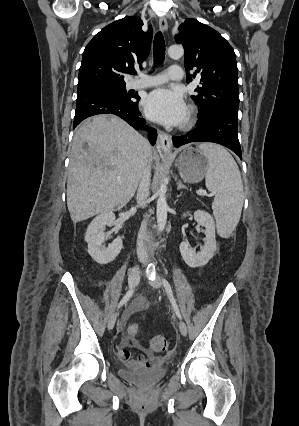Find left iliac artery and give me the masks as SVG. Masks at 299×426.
<instances>
[{"mask_svg":"<svg viewBox=\"0 0 299 426\" xmlns=\"http://www.w3.org/2000/svg\"><path fill=\"white\" fill-rule=\"evenodd\" d=\"M162 283H163L164 288H165V290H166V292H167V294L169 296V299H170V301L172 303V307H173V309H174L177 317L179 319H181L180 310H179L178 305H177V303H176V301L174 299L173 292H172V289H171V286H170L169 282L165 278H162Z\"/></svg>","mask_w":299,"mask_h":426,"instance_id":"obj_1","label":"left iliac artery"}]
</instances>
